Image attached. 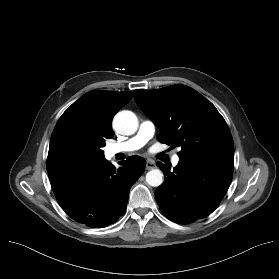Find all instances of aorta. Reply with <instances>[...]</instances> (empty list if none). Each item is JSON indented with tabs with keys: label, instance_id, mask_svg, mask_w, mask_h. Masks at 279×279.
<instances>
[{
	"label": "aorta",
	"instance_id": "762f6f07",
	"mask_svg": "<svg viewBox=\"0 0 279 279\" xmlns=\"http://www.w3.org/2000/svg\"><path fill=\"white\" fill-rule=\"evenodd\" d=\"M113 127L122 135H132L137 131L138 119L131 111H120L113 119ZM146 182L152 187L163 183V174L159 169H152L146 174Z\"/></svg>",
	"mask_w": 279,
	"mask_h": 279
}]
</instances>
